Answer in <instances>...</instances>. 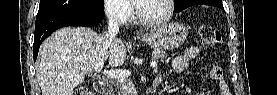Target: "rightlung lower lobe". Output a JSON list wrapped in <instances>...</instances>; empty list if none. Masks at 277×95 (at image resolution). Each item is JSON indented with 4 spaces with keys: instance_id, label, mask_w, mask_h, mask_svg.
<instances>
[{
    "instance_id": "right-lung-lower-lobe-1",
    "label": "right lung lower lobe",
    "mask_w": 277,
    "mask_h": 95,
    "mask_svg": "<svg viewBox=\"0 0 277 95\" xmlns=\"http://www.w3.org/2000/svg\"><path fill=\"white\" fill-rule=\"evenodd\" d=\"M104 12L97 13H61L36 18L35 36L33 45L34 61L42 41L55 30L66 26H95L103 19Z\"/></svg>"
}]
</instances>
